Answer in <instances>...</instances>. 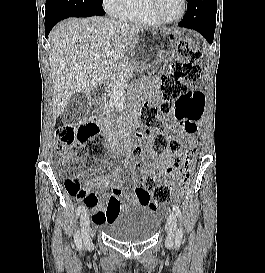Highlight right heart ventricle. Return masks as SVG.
Segmentation results:
<instances>
[{"label": "right heart ventricle", "instance_id": "obj_1", "mask_svg": "<svg viewBox=\"0 0 265 273\" xmlns=\"http://www.w3.org/2000/svg\"><path fill=\"white\" fill-rule=\"evenodd\" d=\"M117 17L148 26L161 25L150 11L149 0H126Z\"/></svg>", "mask_w": 265, "mask_h": 273}]
</instances>
